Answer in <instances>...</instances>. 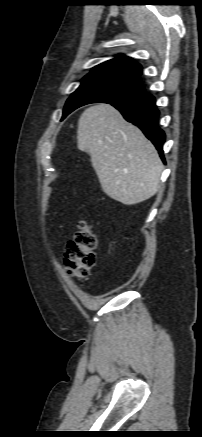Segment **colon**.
Here are the masks:
<instances>
[{"instance_id":"obj_1","label":"colon","mask_w":202,"mask_h":437,"mask_svg":"<svg viewBox=\"0 0 202 437\" xmlns=\"http://www.w3.org/2000/svg\"><path fill=\"white\" fill-rule=\"evenodd\" d=\"M96 246L92 225L85 220L79 221L77 231L65 249L64 262L71 276L86 279L90 275L96 263Z\"/></svg>"}]
</instances>
